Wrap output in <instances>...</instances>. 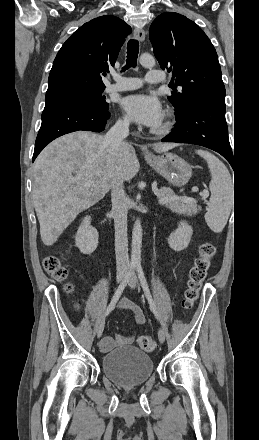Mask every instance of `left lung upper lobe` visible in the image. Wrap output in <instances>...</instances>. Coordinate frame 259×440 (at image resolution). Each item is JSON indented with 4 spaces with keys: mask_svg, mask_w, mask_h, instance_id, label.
<instances>
[{
    "mask_svg": "<svg viewBox=\"0 0 259 440\" xmlns=\"http://www.w3.org/2000/svg\"><path fill=\"white\" fill-rule=\"evenodd\" d=\"M149 36L161 68L172 73L173 81L182 87L168 96L176 117L198 98L225 100L217 53L195 22L178 13H162L153 21Z\"/></svg>",
    "mask_w": 259,
    "mask_h": 440,
    "instance_id": "1",
    "label": "left lung upper lobe"
}]
</instances>
